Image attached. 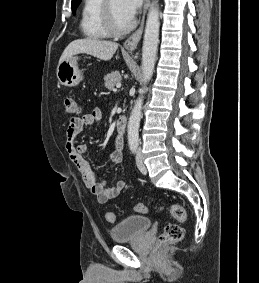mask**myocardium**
I'll return each mask as SVG.
<instances>
[{"instance_id": "obj_1", "label": "myocardium", "mask_w": 259, "mask_h": 283, "mask_svg": "<svg viewBox=\"0 0 259 283\" xmlns=\"http://www.w3.org/2000/svg\"><path fill=\"white\" fill-rule=\"evenodd\" d=\"M102 19L104 26L108 33L113 36H122L130 32L134 26L135 21L133 19L125 27H119L115 21L113 10L111 6V0H103L102 8Z\"/></svg>"}]
</instances>
